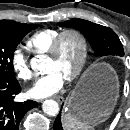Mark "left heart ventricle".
Instances as JSON below:
<instances>
[{
  "label": "left heart ventricle",
  "mask_w": 130,
  "mask_h": 130,
  "mask_svg": "<svg viewBox=\"0 0 130 130\" xmlns=\"http://www.w3.org/2000/svg\"><path fill=\"white\" fill-rule=\"evenodd\" d=\"M81 55L79 40L72 35L66 36L55 58H47L46 71L56 70L65 78L76 68Z\"/></svg>",
  "instance_id": "1"
}]
</instances>
